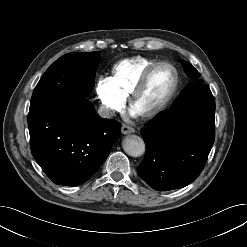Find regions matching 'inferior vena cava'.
<instances>
[{
    "label": "inferior vena cava",
    "mask_w": 247,
    "mask_h": 247,
    "mask_svg": "<svg viewBox=\"0 0 247 247\" xmlns=\"http://www.w3.org/2000/svg\"><path fill=\"white\" fill-rule=\"evenodd\" d=\"M98 114L102 118H111L112 116H114L115 112L110 108H107L105 106H101L98 109Z\"/></svg>",
    "instance_id": "1"
}]
</instances>
